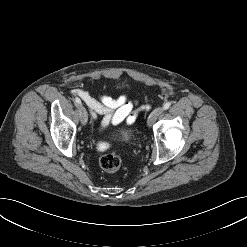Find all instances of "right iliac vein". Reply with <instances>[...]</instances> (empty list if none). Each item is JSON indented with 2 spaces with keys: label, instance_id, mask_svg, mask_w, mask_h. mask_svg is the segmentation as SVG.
Returning <instances> with one entry per match:
<instances>
[{
  "label": "right iliac vein",
  "instance_id": "63e3f726",
  "mask_svg": "<svg viewBox=\"0 0 247 247\" xmlns=\"http://www.w3.org/2000/svg\"><path fill=\"white\" fill-rule=\"evenodd\" d=\"M79 114H80L81 123L85 125L88 120V113L84 106H79Z\"/></svg>",
  "mask_w": 247,
  "mask_h": 247
}]
</instances>
